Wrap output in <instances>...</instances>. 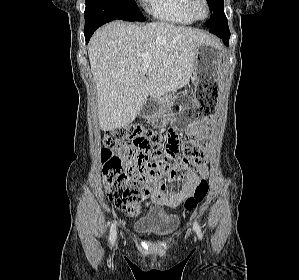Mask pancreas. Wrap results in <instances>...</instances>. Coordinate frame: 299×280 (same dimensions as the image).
Returning a JSON list of instances; mask_svg holds the SVG:
<instances>
[{
	"label": "pancreas",
	"mask_w": 299,
	"mask_h": 280,
	"mask_svg": "<svg viewBox=\"0 0 299 280\" xmlns=\"http://www.w3.org/2000/svg\"><path fill=\"white\" fill-rule=\"evenodd\" d=\"M166 98V97H165ZM161 101H164V98L158 99V102L161 103Z\"/></svg>",
	"instance_id": "pancreas-1"
}]
</instances>
